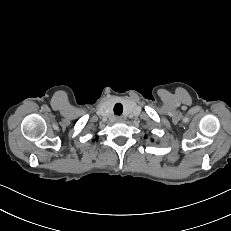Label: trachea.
<instances>
[{
	"label": "trachea",
	"instance_id": "trachea-1",
	"mask_svg": "<svg viewBox=\"0 0 231 231\" xmlns=\"http://www.w3.org/2000/svg\"><path fill=\"white\" fill-rule=\"evenodd\" d=\"M122 112H123V106H122V104L117 103V104L114 106V114H115V115H121Z\"/></svg>",
	"mask_w": 231,
	"mask_h": 231
}]
</instances>
